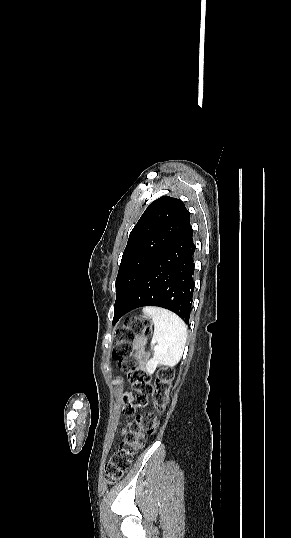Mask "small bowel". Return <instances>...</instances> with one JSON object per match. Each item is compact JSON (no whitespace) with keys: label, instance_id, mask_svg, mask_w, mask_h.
Instances as JSON below:
<instances>
[{"label":"small bowel","instance_id":"c3829d8e","mask_svg":"<svg viewBox=\"0 0 291 538\" xmlns=\"http://www.w3.org/2000/svg\"><path fill=\"white\" fill-rule=\"evenodd\" d=\"M126 432H127V430H124V433H126Z\"/></svg>","mask_w":291,"mask_h":538}]
</instances>
